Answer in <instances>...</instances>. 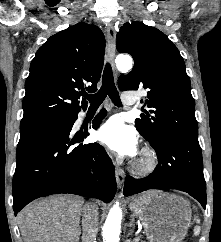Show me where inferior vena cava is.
Instances as JSON below:
<instances>
[{"label":"inferior vena cava","mask_w":221,"mask_h":242,"mask_svg":"<svg viewBox=\"0 0 221 242\" xmlns=\"http://www.w3.org/2000/svg\"><path fill=\"white\" fill-rule=\"evenodd\" d=\"M82 242H94L98 231V208L86 203L82 215Z\"/></svg>","instance_id":"obj_1"}]
</instances>
